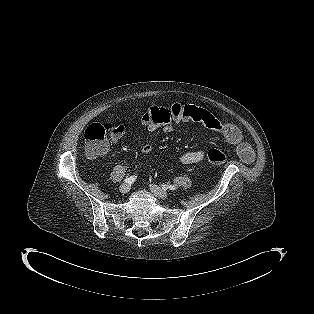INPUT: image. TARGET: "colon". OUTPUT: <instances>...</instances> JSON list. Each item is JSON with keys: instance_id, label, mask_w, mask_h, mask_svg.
<instances>
[{"instance_id": "colon-1", "label": "colon", "mask_w": 314, "mask_h": 314, "mask_svg": "<svg viewBox=\"0 0 314 314\" xmlns=\"http://www.w3.org/2000/svg\"><path fill=\"white\" fill-rule=\"evenodd\" d=\"M156 109L163 110L164 108H155L154 110ZM124 129V124L116 122L93 123L89 125L83 134L87 155L90 157L104 155L108 150L109 141ZM207 159L213 165H220L226 161V155L218 149H211L207 153Z\"/></svg>"}]
</instances>
